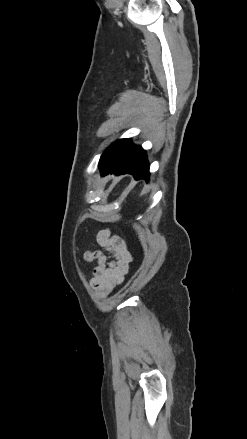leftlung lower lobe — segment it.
<instances>
[{
    "mask_svg": "<svg viewBox=\"0 0 247 439\" xmlns=\"http://www.w3.org/2000/svg\"><path fill=\"white\" fill-rule=\"evenodd\" d=\"M100 170L102 174H132L136 180L143 178L148 180L149 178V164L146 153L141 146L137 145H133L124 168L113 170L108 167H100Z\"/></svg>",
    "mask_w": 247,
    "mask_h": 439,
    "instance_id": "obj_1",
    "label": "left lung lower lobe"
}]
</instances>
